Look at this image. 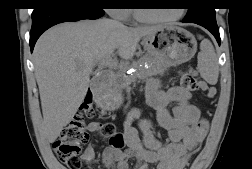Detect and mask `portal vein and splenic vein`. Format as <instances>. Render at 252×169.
<instances>
[{
    "instance_id": "18ae733b",
    "label": "portal vein and splenic vein",
    "mask_w": 252,
    "mask_h": 169,
    "mask_svg": "<svg viewBox=\"0 0 252 169\" xmlns=\"http://www.w3.org/2000/svg\"><path fill=\"white\" fill-rule=\"evenodd\" d=\"M100 65H105L109 67H115L117 63L112 59L111 56H106L99 62Z\"/></svg>"
}]
</instances>
